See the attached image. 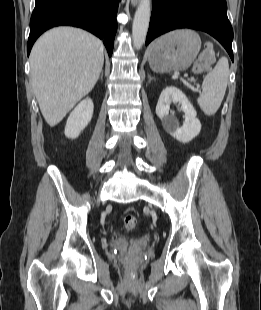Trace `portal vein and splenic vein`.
<instances>
[{"label":"portal vein and splenic vein","instance_id":"1","mask_svg":"<svg viewBox=\"0 0 261 310\" xmlns=\"http://www.w3.org/2000/svg\"><path fill=\"white\" fill-rule=\"evenodd\" d=\"M178 77H179V73H175V74L173 75V78H178ZM190 88H191L194 92H198V91H199L198 88H194V87H192V86H190Z\"/></svg>","mask_w":261,"mask_h":310}]
</instances>
